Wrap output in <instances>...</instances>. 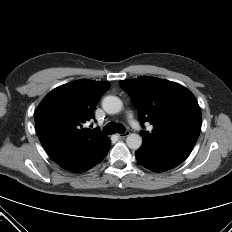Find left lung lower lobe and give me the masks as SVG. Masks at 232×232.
Returning <instances> with one entry per match:
<instances>
[{
    "instance_id": "1",
    "label": "left lung lower lobe",
    "mask_w": 232,
    "mask_h": 232,
    "mask_svg": "<svg viewBox=\"0 0 232 232\" xmlns=\"http://www.w3.org/2000/svg\"><path fill=\"white\" fill-rule=\"evenodd\" d=\"M194 145L186 142L156 144L143 140L142 146L136 151V158L145 168L154 172H162L183 162L191 153Z\"/></svg>"
}]
</instances>
